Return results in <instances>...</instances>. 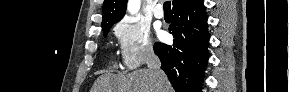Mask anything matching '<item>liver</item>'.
<instances>
[{"instance_id":"liver-1","label":"liver","mask_w":289,"mask_h":92,"mask_svg":"<svg viewBox=\"0 0 289 92\" xmlns=\"http://www.w3.org/2000/svg\"><path fill=\"white\" fill-rule=\"evenodd\" d=\"M91 92H160L156 87L154 72L150 69H140L127 75L106 73L100 76ZM163 91L173 92L169 81L163 84Z\"/></svg>"}]
</instances>
